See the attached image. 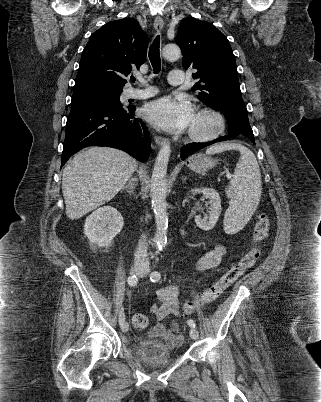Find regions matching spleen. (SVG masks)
<instances>
[{"label":"spleen","mask_w":321,"mask_h":402,"mask_svg":"<svg viewBox=\"0 0 321 402\" xmlns=\"http://www.w3.org/2000/svg\"><path fill=\"white\" fill-rule=\"evenodd\" d=\"M238 150L240 158L236 165L226 196L230 200L224 215V230L234 234L241 230L255 212L262 192L261 172L254 153L239 143H220L211 146L206 154Z\"/></svg>","instance_id":"1"}]
</instances>
